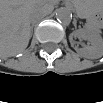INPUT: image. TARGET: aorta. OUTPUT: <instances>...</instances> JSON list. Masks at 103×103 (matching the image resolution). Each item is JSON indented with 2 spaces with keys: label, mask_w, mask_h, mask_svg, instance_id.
I'll return each instance as SVG.
<instances>
[{
  "label": "aorta",
  "mask_w": 103,
  "mask_h": 103,
  "mask_svg": "<svg viewBox=\"0 0 103 103\" xmlns=\"http://www.w3.org/2000/svg\"><path fill=\"white\" fill-rule=\"evenodd\" d=\"M57 21L62 25H68L72 20V13L68 8L61 7L55 12Z\"/></svg>",
  "instance_id": "aorta-1"
}]
</instances>
